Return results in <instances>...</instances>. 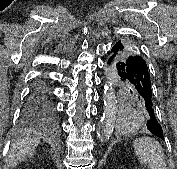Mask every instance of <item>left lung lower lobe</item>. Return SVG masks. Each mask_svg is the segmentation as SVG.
I'll list each match as a JSON object with an SVG mask.
<instances>
[{
	"label": "left lung lower lobe",
	"instance_id": "1",
	"mask_svg": "<svg viewBox=\"0 0 177 169\" xmlns=\"http://www.w3.org/2000/svg\"><path fill=\"white\" fill-rule=\"evenodd\" d=\"M122 46L117 42L110 50L107 64L116 79L124 83V88L136 91L142 105L149 113L147 129L155 136L164 139L163 130L157 121L152 102L151 81L148 66L145 60L137 55H128L117 60Z\"/></svg>",
	"mask_w": 177,
	"mask_h": 169
}]
</instances>
